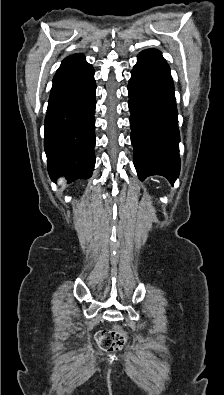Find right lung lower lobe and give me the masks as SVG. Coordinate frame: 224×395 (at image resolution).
Wrapping results in <instances>:
<instances>
[{
  "mask_svg": "<svg viewBox=\"0 0 224 395\" xmlns=\"http://www.w3.org/2000/svg\"><path fill=\"white\" fill-rule=\"evenodd\" d=\"M94 69L82 54L63 60L57 70L45 118L44 147L52 178L68 183L91 177L95 166Z\"/></svg>",
  "mask_w": 224,
  "mask_h": 395,
  "instance_id": "obj_1",
  "label": "right lung lower lobe"
}]
</instances>
